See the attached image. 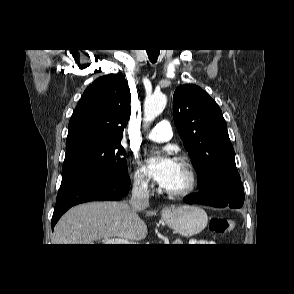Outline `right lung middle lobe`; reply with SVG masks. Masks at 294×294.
Wrapping results in <instances>:
<instances>
[{
	"mask_svg": "<svg viewBox=\"0 0 294 294\" xmlns=\"http://www.w3.org/2000/svg\"><path fill=\"white\" fill-rule=\"evenodd\" d=\"M123 155L121 142L80 140L66 144L62 180L85 172L126 176L128 168Z\"/></svg>",
	"mask_w": 294,
	"mask_h": 294,
	"instance_id": "obj_1",
	"label": "right lung middle lobe"
}]
</instances>
